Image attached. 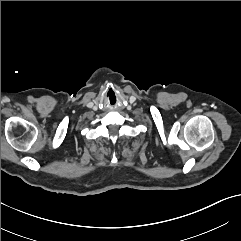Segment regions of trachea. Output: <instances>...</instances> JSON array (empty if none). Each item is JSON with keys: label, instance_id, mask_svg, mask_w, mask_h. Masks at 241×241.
Listing matches in <instances>:
<instances>
[{"label": "trachea", "instance_id": "1", "mask_svg": "<svg viewBox=\"0 0 241 241\" xmlns=\"http://www.w3.org/2000/svg\"><path fill=\"white\" fill-rule=\"evenodd\" d=\"M108 98H109V100H108L109 105H111V106L116 105V103H117V100H116L117 95H116V93H114V92L109 93Z\"/></svg>", "mask_w": 241, "mask_h": 241}]
</instances>
